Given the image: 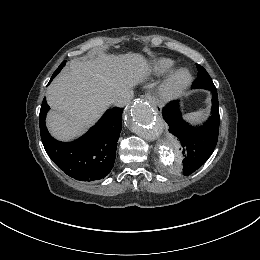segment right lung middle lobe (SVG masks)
Here are the masks:
<instances>
[{
    "mask_svg": "<svg viewBox=\"0 0 260 260\" xmlns=\"http://www.w3.org/2000/svg\"><path fill=\"white\" fill-rule=\"evenodd\" d=\"M64 65H65V62H63V63L58 67L57 71L59 72Z\"/></svg>",
    "mask_w": 260,
    "mask_h": 260,
    "instance_id": "obj_1",
    "label": "right lung middle lobe"
}]
</instances>
